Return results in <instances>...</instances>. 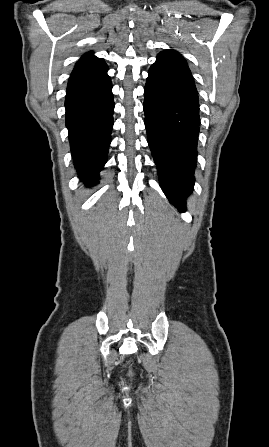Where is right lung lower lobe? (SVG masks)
<instances>
[{"instance_id":"obj_1","label":"right lung lower lobe","mask_w":269,"mask_h":447,"mask_svg":"<svg viewBox=\"0 0 269 447\" xmlns=\"http://www.w3.org/2000/svg\"><path fill=\"white\" fill-rule=\"evenodd\" d=\"M104 61L75 68L65 99L66 127L74 164L87 186L98 182L113 127L112 83Z\"/></svg>"}]
</instances>
